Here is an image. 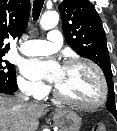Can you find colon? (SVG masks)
I'll return each mask as SVG.
<instances>
[{
    "instance_id": "5ec220e1",
    "label": "colon",
    "mask_w": 117,
    "mask_h": 131,
    "mask_svg": "<svg viewBox=\"0 0 117 131\" xmlns=\"http://www.w3.org/2000/svg\"><path fill=\"white\" fill-rule=\"evenodd\" d=\"M89 131H107L104 124H96Z\"/></svg>"
}]
</instances>
